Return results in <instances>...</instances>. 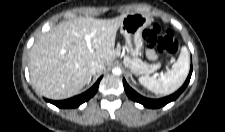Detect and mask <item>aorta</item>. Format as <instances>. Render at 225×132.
<instances>
[{
  "instance_id": "obj_1",
  "label": "aorta",
  "mask_w": 225,
  "mask_h": 132,
  "mask_svg": "<svg viewBox=\"0 0 225 132\" xmlns=\"http://www.w3.org/2000/svg\"><path fill=\"white\" fill-rule=\"evenodd\" d=\"M113 73H114L115 75H120L122 72H121V69H120V68H114V69H113Z\"/></svg>"
}]
</instances>
